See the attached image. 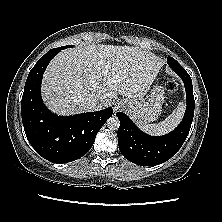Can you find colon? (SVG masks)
I'll list each match as a JSON object with an SVG mask.
<instances>
[{"mask_svg":"<svg viewBox=\"0 0 222 222\" xmlns=\"http://www.w3.org/2000/svg\"><path fill=\"white\" fill-rule=\"evenodd\" d=\"M177 87V82L172 78H168V80L166 81V88L168 92L174 93L177 90Z\"/></svg>","mask_w":222,"mask_h":222,"instance_id":"colon-1","label":"colon"}]
</instances>
